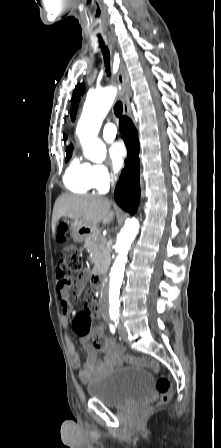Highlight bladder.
Segmentation results:
<instances>
[{"instance_id": "obj_1", "label": "bladder", "mask_w": 221, "mask_h": 448, "mask_svg": "<svg viewBox=\"0 0 221 448\" xmlns=\"http://www.w3.org/2000/svg\"><path fill=\"white\" fill-rule=\"evenodd\" d=\"M154 379L148 371L135 366H120L87 383L90 399L110 407H121L151 397Z\"/></svg>"}]
</instances>
